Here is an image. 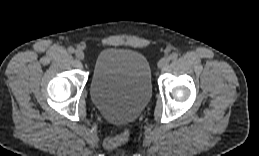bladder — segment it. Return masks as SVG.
Segmentation results:
<instances>
[{
	"mask_svg": "<svg viewBox=\"0 0 259 156\" xmlns=\"http://www.w3.org/2000/svg\"><path fill=\"white\" fill-rule=\"evenodd\" d=\"M152 94L151 69L139 52L110 47L100 52L90 82V96L109 121L135 120Z\"/></svg>",
	"mask_w": 259,
	"mask_h": 156,
	"instance_id": "1",
	"label": "bladder"
}]
</instances>
